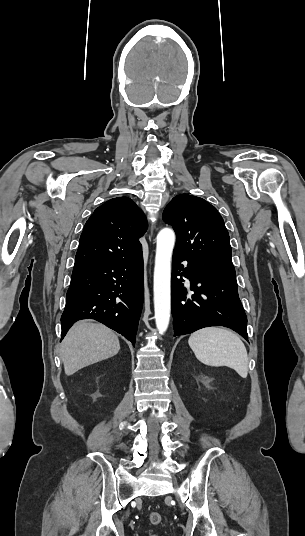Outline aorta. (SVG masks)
<instances>
[{"mask_svg":"<svg viewBox=\"0 0 305 536\" xmlns=\"http://www.w3.org/2000/svg\"><path fill=\"white\" fill-rule=\"evenodd\" d=\"M175 245V233L163 228L157 235L154 267V311L156 326L163 334L171 315V259Z\"/></svg>","mask_w":305,"mask_h":536,"instance_id":"obj_1","label":"aorta"}]
</instances>
